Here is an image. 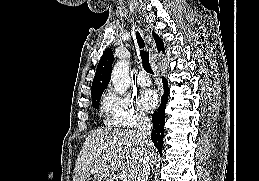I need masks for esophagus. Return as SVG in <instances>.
Instances as JSON below:
<instances>
[{"mask_svg": "<svg viewBox=\"0 0 259 181\" xmlns=\"http://www.w3.org/2000/svg\"><path fill=\"white\" fill-rule=\"evenodd\" d=\"M148 42L151 44V45H154V42H153V39H152V36L151 34L148 32L147 33V36H146Z\"/></svg>", "mask_w": 259, "mask_h": 181, "instance_id": "esophagus-1", "label": "esophagus"}]
</instances>
